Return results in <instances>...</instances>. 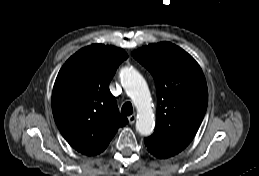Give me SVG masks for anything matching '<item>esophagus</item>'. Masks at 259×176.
I'll list each match as a JSON object with an SVG mask.
<instances>
[{
    "label": "esophagus",
    "instance_id": "34e87169",
    "mask_svg": "<svg viewBox=\"0 0 259 176\" xmlns=\"http://www.w3.org/2000/svg\"><path fill=\"white\" fill-rule=\"evenodd\" d=\"M135 121H136V116L135 115H131V116L128 117L129 124L132 125V124L135 123Z\"/></svg>",
    "mask_w": 259,
    "mask_h": 176
}]
</instances>
